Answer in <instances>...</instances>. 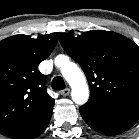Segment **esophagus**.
I'll use <instances>...</instances> for the list:
<instances>
[{"instance_id":"34e87169","label":"esophagus","mask_w":139,"mask_h":139,"mask_svg":"<svg viewBox=\"0 0 139 139\" xmlns=\"http://www.w3.org/2000/svg\"><path fill=\"white\" fill-rule=\"evenodd\" d=\"M60 94L63 96H67L70 94V89L69 88H65L62 91H60Z\"/></svg>"}]
</instances>
